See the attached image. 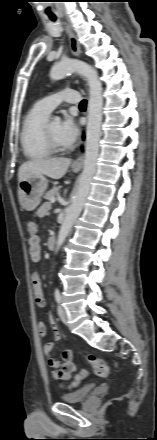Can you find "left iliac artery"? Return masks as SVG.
<instances>
[{"mask_svg": "<svg viewBox=\"0 0 157 440\" xmlns=\"http://www.w3.org/2000/svg\"><path fill=\"white\" fill-rule=\"evenodd\" d=\"M54 296H55V300H56L58 303H60V301H61V295H60V292H59L58 288L55 289V291H54Z\"/></svg>", "mask_w": 157, "mask_h": 440, "instance_id": "left-iliac-artery-1", "label": "left iliac artery"}]
</instances>
